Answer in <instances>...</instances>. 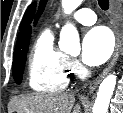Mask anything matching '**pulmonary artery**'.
Here are the masks:
<instances>
[{"label":"pulmonary artery","mask_w":123,"mask_h":113,"mask_svg":"<svg viewBox=\"0 0 123 113\" xmlns=\"http://www.w3.org/2000/svg\"><path fill=\"white\" fill-rule=\"evenodd\" d=\"M71 19L83 25H92L96 22V14L88 8H81L74 12Z\"/></svg>","instance_id":"e3ab8cb5"}]
</instances>
